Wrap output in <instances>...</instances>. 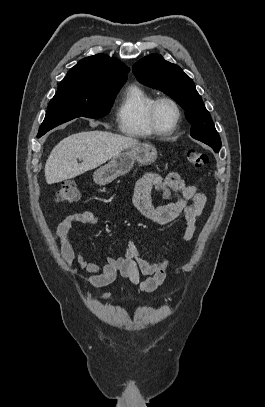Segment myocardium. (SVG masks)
<instances>
[{"mask_svg": "<svg viewBox=\"0 0 265 407\" xmlns=\"http://www.w3.org/2000/svg\"><path fill=\"white\" fill-rule=\"evenodd\" d=\"M163 103H169L170 105L173 106V108L176 111V120H175L174 124L172 125V127L168 128V129L162 128L158 121V110H159L160 105H162ZM181 118H182L181 106L175 99H173L171 97H160V98L155 99L153 101V103L151 104L149 111H148L149 124H150L152 130L157 135L166 136V135H170V134L174 133L181 122Z\"/></svg>", "mask_w": 265, "mask_h": 407, "instance_id": "obj_1", "label": "myocardium"}]
</instances>
